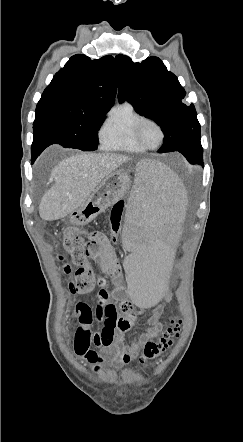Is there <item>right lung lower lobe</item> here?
<instances>
[{
	"label": "right lung lower lobe",
	"mask_w": 243,
	"mask_h": 442,
	"mask_svg": "<svg viewBox=\"0 0 243 442\" xmlns=\"http://www.w3.org/2000/svg\"><path fill=\"white\" fill-rule=\"evenodd\" d=\"M46 147H48L46 144H44V145H41V146H34L33 144H32V147H31V154H32V161H34L36 158H37V156L46 148Z\"/></svg>",
	"instance_id": "1"
}]
</instances>
